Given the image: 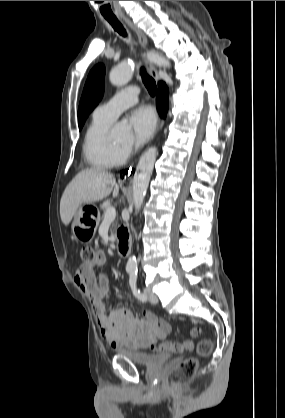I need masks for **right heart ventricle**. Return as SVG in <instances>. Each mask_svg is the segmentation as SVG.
<instances>
[{
	"instance_id": "right-heart-ventricle-1",
	"label": "right heart ventricle",
	"mask_w": 285,
	"mask_h": 418,
	"mask_svg": "<svg viewBox=\"0 0 285 418\" xmlns=\"http://www.w3.org/2000/svg\"><path fill=\"white\" fill-rule=\"evenodd\" d=\"M111 124L93 116L85 133L83 152L92 168L108 169L123 161L120 148L109 139Z\"/></svg>"
}]
</instances>
